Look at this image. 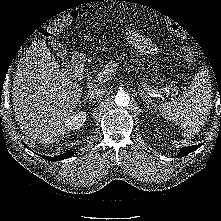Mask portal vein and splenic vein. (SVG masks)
Here are the masks:
<instances>
[{
  "instance_id": "obj_1",
  "label": "portal vein and splenic vein",
  "mask_w": 221,
  "mask_h": 221,
  "mask_svg": "<svg viewBox=\"0 0 221 221\" xmlns=\"http://www.w3.org/2000/svg\"><path fill=\"white\" fill-rule=\"evenodd\" d=\"M115 66H117V64H115ZM116 71V69H112V68H107L105 70H103L102 72H100L98 74V77H97V81H105L107 80V76L108 75H111V74H114V72ZM141 86L142 88L145 90V91H151V92H155L153 89H151V87L147 86L145 83L143 84V82H141ZM165 91L167 93H169V90L167 88H165Z\"/></svg>"
}]
</instances>
